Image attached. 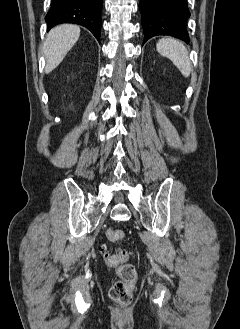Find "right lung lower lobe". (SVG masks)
Instances as JSON below:
<instances>
[{
  "label": "right lung lower lobe",
  "mask_w": 240,
  "mask_h": 329,
  "mask_svg": "<svg viewBox=\"0 0 240 329\" xmlns=\"http://www.w3.org/2000/svg\"><path fill=\"white\" fill-rule=\"evenodd\" d=\"M103 0H52L45 17L47 30L62 23L79 24L89 29L100 42Z\"/></svg>",
  "instance_id": "1"
}]
</instances>
